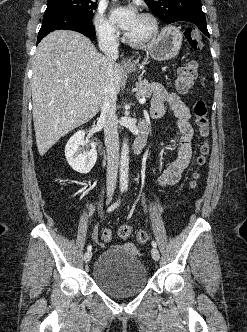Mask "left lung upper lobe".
Segmentation results:
<instances>
[{"instance_id": "left-lung-upper-lobe-1", "label": "left lung upper lobe", "mask_w": 247, "mask_h": 332, "mask_svg": "<svg viewBox=\"0 0 247 332\" xmlns=\"http://www.w3.org/2000/svg\"><path fill=\"white\" fill-rule=\"evenodd\" d=\"M150 10L163 22L186 21L194 26L197 21H206L201 0H144Z\"/></svg>"}]
</instances>
